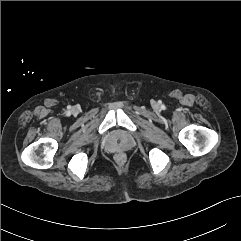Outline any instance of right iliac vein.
Here are the masks:
<instances>
[{
    "instance_id": "right-iliac-vein-1",
    "label": "right iliac vein",
    "mask_w": 241,
    "mask_h": 241,
    "mask_svg": "<svg viewBox=\"0 0 241 241\" xmlns=\"http://www.w3.org/2000/svg\"><path fill=\"white\" fill-rule=\"evenodd\" d=\"M73 111H74V112H77V111H78V109L75 107V108H73Z\"/></svg>"
}]
</instances>
